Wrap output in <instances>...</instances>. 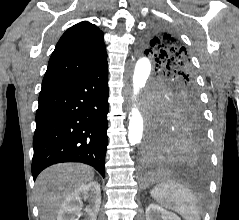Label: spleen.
<instances>
[{
    "label": "spleen",
    "mask_w": 239,
    "mask_h": 220,
    "mask_svg": "<svg viewBox=\"0 0 239 220\" xmlns=\"http://www.w3.org/2000/svg\"><path fill=\"white\" fill-rule=\"evenodd\" d=\"M150 194L160 205L176 211L185 220L201 219L196 196L180 183L163 182L156 185Z\"/></svg>",
    "instance_id": "obj_1"
}]
</instances>
